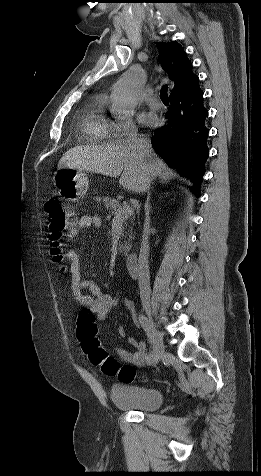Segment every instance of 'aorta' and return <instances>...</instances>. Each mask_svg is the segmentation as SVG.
<instances>
[{"label":"aorta","mask_w":261,"mask_h":476,"mask_svg":"<svg viewBox=\"0 0 261 476\" xmlns=\"http://www.w3.org/2000/svg\"><path fill=\"white\" fill-rule=\"evenodd\" d=\"M140 81L138 72H129L116 83L112 94V110L117 116L124 117L134 112Z\"/></svg>","instance_id":"1"}]
</instances>
